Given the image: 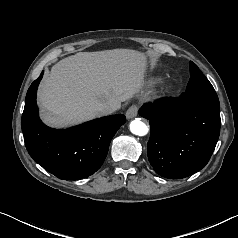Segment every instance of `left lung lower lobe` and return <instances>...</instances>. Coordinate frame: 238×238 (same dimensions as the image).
<instances>
[{
    "mask_svg": "<svg viewBox=\"0 0 238 238\" xmlns=\"http://www.w3.org/2000/svg\"><path fill=\"white\" fill-rule=\"evenodd\" d=\"M139 114L150 122L147 154L156 173L181 179L205 167L219 138V100L170 98L142 106Z\"/></svg>",
    "mask_w": 238,
    "mask_h": 238,
    "instance_id": "obj_1",
    "label": "left lung lower lobe"
}]
</instances>
